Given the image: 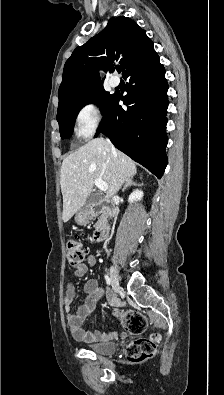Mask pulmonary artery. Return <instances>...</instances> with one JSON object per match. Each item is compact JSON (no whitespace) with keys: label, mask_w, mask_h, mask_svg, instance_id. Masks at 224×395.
Returning <instances> with one entry per match:
<instances>
[{"label":"pulmonary artery","mask_w":224,"mask_h":395,"mask_svg":"<svg viewBox=\"0 0 224 395\" xmlns=\"http://www.w3.org/2000/svg\"><path fill=\"white\" fill-rule=\"evenodd\" d=\"M118 84H119V81H118L117 79H112V80L110 81L111 87H117Z\"/></svg>","instance_id":"1"}]
</instances>
